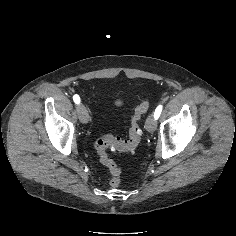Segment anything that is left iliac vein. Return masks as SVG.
Listing matches in <instances>:
<instances>
[{
	"label": "left iliac vein",
	"mask_w": 236,
	"mask_h": 236,
	"mask_svg": "<svg viewBox=\"0 0 236 236\" xmlns=\"http://www.w3.org/2000/svg\"><path fill=\"white\" fill-rule=\"evenodd\" d=\"M156 119L153 114L149 115L145 122V128L148 132H154L156 130Z\"/></svg>",
	"instance_id": "1"
}]
</instances>
